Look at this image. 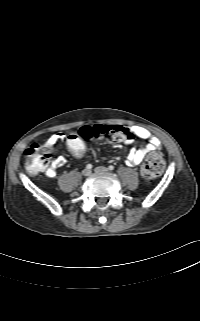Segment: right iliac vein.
Wrapping results in <instances>:
<instances>
[{
	"instance_id": "63e3f726",
	"label": "right iliac vein",
	"mask_w": 200,
	"mask_h": 321,
	"mask_svg": "<svg viewBox=\"0 0 200 321\" xmlns=\"http://www.w3.org/2000/svg\"><path fill=\"white\" fill-rule=\"evenodd\" d=\"M91 174V170L90 169H84L83 171H82V175L83 176H89Z\"/></svg>"
}]
</instances>
